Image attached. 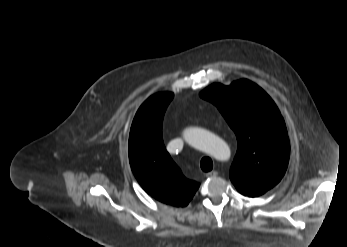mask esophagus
I'll use <instances>...</instances> for the list:
<instances>
[{
  "label": "esophagus",
  "instance_id": "34e87169",
  "mask_svg": "<svg viewBox=\"0 0 347 247\" xmlns=\"http://www.w3.org/2000/svg\"><path fill=\"white\" fill-rule=\"evenodd\" d=\"M217 175H218V172L215 171V170L206 173V176H207V177H215V176H217Z\"/></svg>",
  "mask_w": 347,
  "mask_h": 247
}]
</instances>
